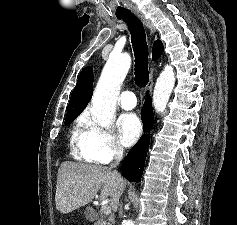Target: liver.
I'll return each mask as SVG.
<instances>
[{"instance_id": "liver-1", "label": "liver", "mask_w": 237, "mask_h": 225, "mask_svg": "<svg viewBox=\"0 0 237 225\" xmlns=\"http://www.w3.org/2000/svg\"><path fill=\"white\" fill-rule=\"evenodd\" d=\"M126 187L119 182L110 168L92 164L63 162L57 175L56 209L62 214L89 204L101 188L100 198H111V208L116 210L119 198Z\"/></svg>"}]
</instances>
